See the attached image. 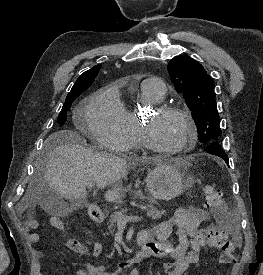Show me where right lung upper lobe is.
Wrapping results in <instances>:
<instances>
[{"instance_id": "1", "label": "right lung upper lobe", "mask_w": 263, "mask_h": 275, "mask_svg": "<svg viewBox=\"0 0 263 275\" xmlns=\"http://www.w3.org/2000/svg\"><path fill=\"white\" fill-rule=\"evenodd\" d=\"M101 68V64H98L91 68L90 70L84 72L75 82L69 94H73L78 90H82L84 88H88L96 78L99 70ZM68 94V95H69Z\"/></svg>"}]
</instances>
